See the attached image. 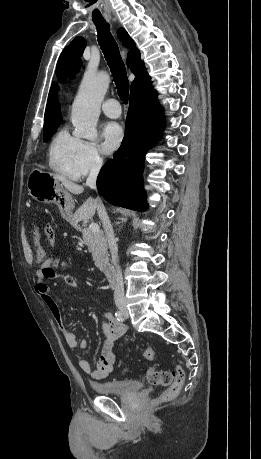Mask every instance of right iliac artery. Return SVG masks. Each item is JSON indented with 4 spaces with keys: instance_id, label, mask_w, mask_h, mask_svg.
<instances>
[{
    "instance_id": "82829eb1",
    "label": "right iliac artery",
    "mask_w": 261,
    "mask_h": 459,
    "mask_svg": "<svg viewBox=\"0 0 261 459\" xmlns=\"http://www.w3.org/2000/svg\"><path fill=\"white\" fill-rule=\"evenodd\" d=\"M115 316H116L117 320L121 321V322L124 321V319H125L124 314L121 311H117L115 313Z\"/></svg>"
}]
</instances>
